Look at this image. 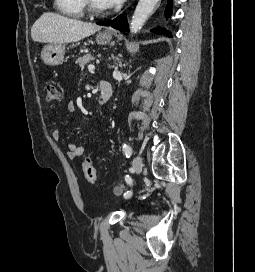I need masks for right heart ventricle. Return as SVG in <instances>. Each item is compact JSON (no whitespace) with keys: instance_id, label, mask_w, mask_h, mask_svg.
<instances>
[{"instance_id":"right-heart-ventricle-1","label":"right heart ventricle","mask_w":255,"mask_h":272,"mask_svg":"<svg viewBox=\"0 0 255 272\" xmlns=\"http://www.w3.org/2000/svg\"><path fill=\"white\" fill-rule=\"evenodd\" d=\"M55 9L67 16L80 18L85 12L84 0H54Z\"/></svg>"}]
</instances>
